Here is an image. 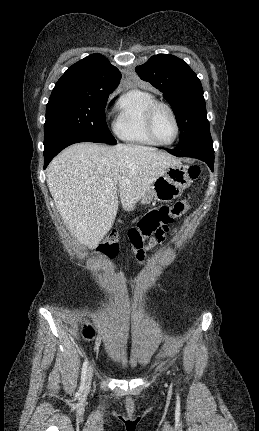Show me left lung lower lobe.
I'll return each mask as SVG.
<instances>
[{
	"label": "left lung lower lobe",
	"instance_id": "1",
	"mask_svg": "<svg viewBox=\"0 0 259 431\" xmlns=\"http://www.w3.org/2000/svg\"><path fill=\"white\" fill-rule=\"evenodd\" d=\"M170 153L173 155H176L178 157L184 156V157H192L197 158L199 160L204 161L213 171L214 169V149L213 148H207V147H198V148H192L187 150H181L179 147H176V149H167Z\"/></svg>",
	"mask_w": 259,
	"mask_h": 431
}]
</instances>
